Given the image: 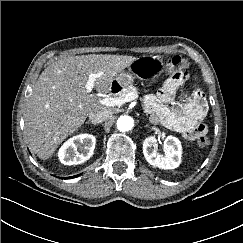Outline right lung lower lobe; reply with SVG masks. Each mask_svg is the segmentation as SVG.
Masks as SVG:
<instances>
[{
	"mask_svg": "<svg viewBox=\"0 0 243 243\" xmlns=\"http://www.w3.org/2000/svg\"><path fill=\"white\" fill-rule=\"evenodd\" d=\"M71 178H74V177H68V178H66V179H71Z\"/></svg>",
	"mask_w": 243,
	"mask_h": 243,
	"instance_id": "98d812e1",
	"label": "right lung lower lobe"
}]
</instances>
